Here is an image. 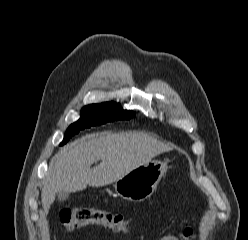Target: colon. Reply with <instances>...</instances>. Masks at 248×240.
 I'll return each mask as SVG.
<instances>
[{"label":"colon","instance_id":"5ec220e1","mask_svg":"<svg viewBox=\"0 0 248 240\" xmlns=\"http://www.w3.org/2000/svg\"><path fill=\"white\" fill-rule=\"evenodd\" d=\"M59 220L68 232L87 225H99L113 232H130L135 227L134 220L124 214L87 206L66 207L60 211Z\"/></svg>","mask_w":248,"mask_h":240}]
</instances>
